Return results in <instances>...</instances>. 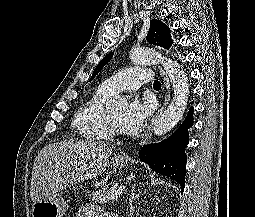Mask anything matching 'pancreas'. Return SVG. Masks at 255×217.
<instances>
[{
    "label": "pancreas",
    "instance_id": "pancreas-1",
    "mask_svg": "<svg viewBox=\"0 0 255 217\" xmlns=\"http://www.w3.org/2000/svg\"><path fill=\"white\" fill-rule=\"evenodd\" d=\"M111 195L109 187H103L92 194V201L104 204L107 202Z\"/></svg>",
    "mask_w": 255,
    "mask_h": 217
}]
</instances>
